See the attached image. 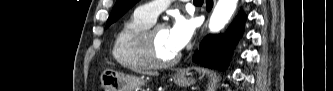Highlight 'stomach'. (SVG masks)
<instances>
[{"mask_svg": "<svg viewBox=\"0 0 333 91\" xmlns=\"http://www.w3.org/2000/svg\"><path fill=\"white\" fill-rule=\"evenodd\" d=\"M100 82L104 91H138L146 80L143 77L123 74L107 68L101 73ZM174 82L178 86H189L194 82V79L181 75L175 76Z\"/></svg>", "mask_w": 333, "mask_h": 91, "instance_id": "obj_1", "label": "stomach"}]
</instances>
